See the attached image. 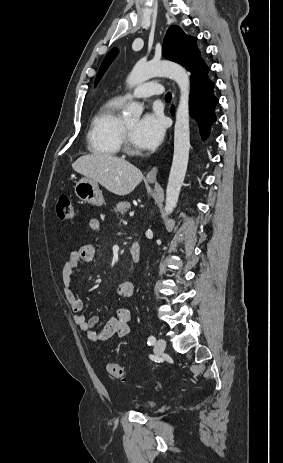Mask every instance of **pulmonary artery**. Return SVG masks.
Listing matches in <instances>:
<instances>
[{
	"instance_id": "obj_1",
	"label": "pulmonary artery",
	"mask_w": 283,
	"mask_h": 463,
	"mask_svg": "<svg viewBox=\"0 0 283 463\" xmlns=\"http://www.w3.org/2000/svg\"><path fill=\"white\" fill-rule=\"evenodd\" d=\"M164 92V87L158 82L151 81L138 86L132 93H127L120 99L123 101L132 98H148L154 95H161Z\"/></svg>"
}]
</instances>
